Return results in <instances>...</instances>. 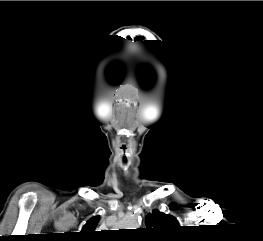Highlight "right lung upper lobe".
I'll return each instance as SVG.
<instances>
[{"mask_svg": "<svg viewBox=\"0 0 263 241\" xmlns=\"http://www.w3.org/2000/svg\"><path fill=\"white\" fill-rule=\"evenodd\" d=\"M99 219L100 216H94L86 222L79 234L81 240L93 241L98 238L95 228L97 227Z\"/></svg>", "mask_w": 263, "mask_h": 241, "instance_id": "right-lung-upper-lobe-1", "label": "right lung upper lobe"}]
</instances>
